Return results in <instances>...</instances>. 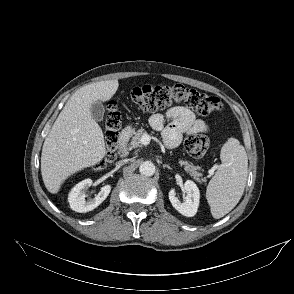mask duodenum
<instances>
[{
	"mask_svg": "<svg viewBox=\"0 0 294 294\" xmlns=\"http://www.w3.org/2000/svg\"><path fill=\"white\" fill-rule=\"evenodd\" d=\"M132 129L130 126H125L119 134L117 140V152L120 156H126L128 153L127 144L131 136Z\"/></svg>",
	"mask_w": 294,
	"mask_h": 294,
	"instance_id": "1",
	"label": "duodenum"
}]
</instances>
